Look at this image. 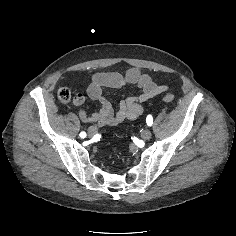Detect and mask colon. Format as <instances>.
<instances>
[{"label": "colon", "instance_id": "obj_1", "mask_svg": "<svg viewBox=\"0 0 236 236\" xmlns=\"http://www.w3.org/2000/svg\"><path fill=\"white\" fill-rule=\"evenodd\" d=\"M58 98H59V100H60L61 102L67 103V102H69V100H70V98H71V94H70V92H69L68 89H66V88H61V89L58 91ZM174 99H175V96H174L173 94H171V93H166V94H164V95L162 96V100H163L164 102H167V103L174 101Z\"/></svg>", "mask_w": 236, "mask_h": 236}]
</instances>
